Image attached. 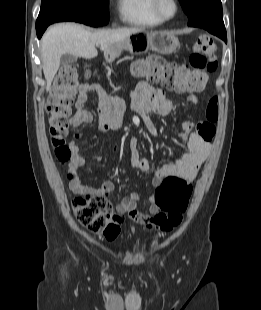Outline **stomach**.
Returning <instances> with one entry per match:
<instances>
[{"label":"stomach","mask_w":261,"mask_h":310,"mask_svg":"<svg viewBox=\"0 0 261 310\" xmlns=\"http://www.w3.org/2000/svg\"><path fill=\"white\" fill-rule=\"evenodd\" d=\"M179 45L178 38L171 32L155 31L145 32L140 31L133 33L124 41L115 44L105 57L108 61H113L119 57L123 50L131 54H140L151 49L160 54H170L176 50Z\"/></svg>","instance_id":"stomach-1"}]
</instances>
